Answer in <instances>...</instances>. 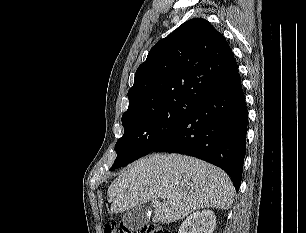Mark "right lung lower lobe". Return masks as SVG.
<instances>
[{
	"mask_svg": "<svg viewBox=\"0 0 306 233\" xmlns=\"http://www.w3.org/2000/svg\"><path fill=\"white\" fill-rule=\"evenodd\" d=\"M248 111L241 80L206 98L153 151L195 156L223 169L239 190Z\"/></svg>",
	"mask_w": 306,
	"mask_h": 233,
	"instance_id": "right-lung-lower-lobe-1",
	"label": "right lung lower lobe"
}]
</instances>
